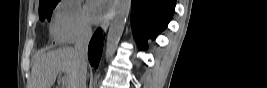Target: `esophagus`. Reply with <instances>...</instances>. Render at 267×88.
<instances>
[{"label":"esophagus","instance_id":"esophagus-1","mask_svg":"<svg viewBox=\"0 0 267 88\" xmlns=\"http://www.w3.org/2000/svg\"><path fill=\"white\" fill-rule=\"evenodd\" d=\"M112 18H113V15L111 14V12L108 13V14L105 16L104 21H103L102 24H101V27H102V29H103L104 31L107 30V28H108V26H109V24H110Z\"/></svg>","mask_w":267,"mask_h":88}]
</instances>
